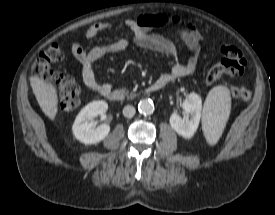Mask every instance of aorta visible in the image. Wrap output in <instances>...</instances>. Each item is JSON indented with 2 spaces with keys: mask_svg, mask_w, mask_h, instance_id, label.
Returning a JSON list of instances; mask_svg holds the SVG:
<instances>
[{
  "mask_svg": "<svg viewBox=\"0 0 275 215\" xmlns=\"http://www.w3.org/2000/svg\"><path fill=\"white\" fill-rule=\"evenodd\" d=\"M154 104L152 101L143 99L138 104V111L143 115H149L154 112Z\"/></svg>",
  "mask_w": 275,
  "mask_h": 215,
  "instance_id": "aorta-1",
  "label": "aorta"
}]
</instances>
